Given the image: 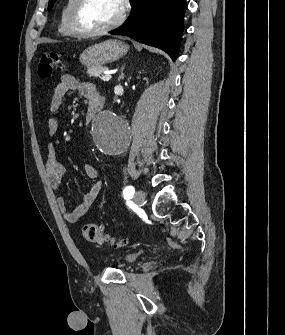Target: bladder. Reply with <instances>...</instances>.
<instances>
[{
    "label": "bladder",
    "mask_w": 285,
    "mask_h": 335,
    "mask_svg": "<svg viewBox=\"0 0 285 335\" xmlns=\"http://www.w3.org/2000/svg\"><path fill=\"white\" fill-rule=\"evenodd\" d=\"M142 255L141 251H129L124 254V256L120 258H131V265H135L140 260V256Z\"/></svg>",
    "instance_id": "31cf9c89"
}]
</instances>
